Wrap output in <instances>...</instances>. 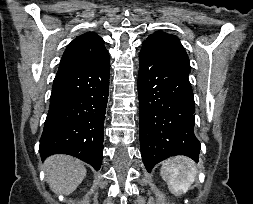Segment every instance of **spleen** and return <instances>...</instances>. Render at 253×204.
<instances>
[{
	"mask_svg": "<svg viewBox=\"0 0 253 204\" xmlns=\"http://www.w3.org/2000/svg\"><path fill=\"white\" fill-rule=\"evenodd\" d=\"M161 177L175 194L186 193L198 174L195 162L186 156L165 160L160 170Z\"/></svg>",
	"mask_w": 253,
	"mask_h": 204,
	"instance_id": "1",
	"label": "spleen"
}]
</instances>
